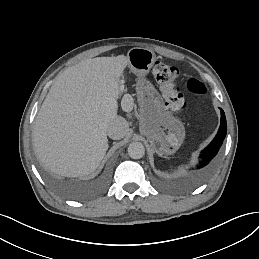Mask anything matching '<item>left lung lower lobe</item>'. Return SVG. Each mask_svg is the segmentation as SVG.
Listing matches in <instances>:
<instances>
[{
    "mask_svg": "<svg viewBox=\"0 0 259 259\" xmlns=\"http://www.w3.org/2000/svg\"><path fill=\"white\" fill-rule=\"evenodd\" d=\"M220 111H221V124L218 130V133L215 136L214 140L201 152L198 162L194 165V167H191V170L207 169L213 164L215 160V157L223 143V140L227 132L225 113L222 109H220Z\"/></svg>",
    "mask_w": 259,
    "mask_h": 259,
    "instance_id": "0a47b994",
    "label": "left lung lower lobe"
}]
</instances>
